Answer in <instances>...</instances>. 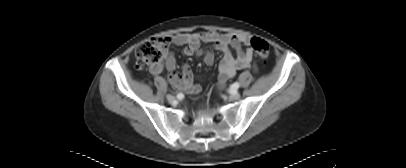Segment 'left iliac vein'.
Here are the masks:
<instances>
[{"label": "left iliac vein", "mask_w": 406, "mask_h": 168, "mask_svg": "<svg viewBox=\"0 0 406 168\" xmlns=\"http://www.w3.org/2000/svg\"><path fill=\"white\" fill-rule=\"evenodd\" d=\"M240 98V93L237 91H233L231 93V95L229 96V99L234 101V100H238Z\"/></svg>", "instance_id": "4c4485c4"}]
</instances>
